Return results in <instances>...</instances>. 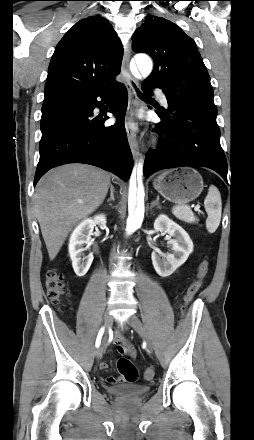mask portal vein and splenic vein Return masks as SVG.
<instances>
[{"instance_id": "1", "label": "portal vein and splenic vein", "mask_w": 254, "mask_h": 440, "mask_svg": "<svg viewBox=\"0 0 254 440\" xmlns=\"http://www.w3.org/2000/svg\"><path fill=\"white\" fill-rule=\"evenodd\" d=\"M194 210H195L196 212H200V206L196 205V206L194 207Z\"/></svg>"}]
</instances>
